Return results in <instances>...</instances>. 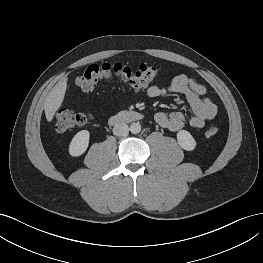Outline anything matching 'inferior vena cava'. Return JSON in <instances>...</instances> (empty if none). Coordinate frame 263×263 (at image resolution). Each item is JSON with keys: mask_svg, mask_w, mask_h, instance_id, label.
<instances>
[{"mask_svg": "<svg viewBox=\"0 0 263 263\" xmlns=\"http://www.w3.org/2000/svg\"><path fill=\"white\" fill-rule=\"evenodd\" d=\"M129 132V127L125 123H117L113 127V134L116 136H126Z\"/></svg>", "mask_w": 263, "mask_h": 263, "instance_id": "inferior-vena-cava-1", "label": "inferior vena cava"}]
</instances>
